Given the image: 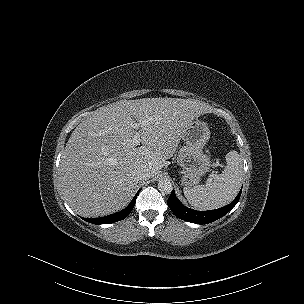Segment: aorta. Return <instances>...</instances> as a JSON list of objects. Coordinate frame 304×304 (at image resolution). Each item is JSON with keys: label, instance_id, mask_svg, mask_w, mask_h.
Instances as JSON below:
<instances>
[{"label": "aorta", "instance_id": "1", "mask_svg": "<svg viewBox=\"0 0 304 304\" xmlns=\"http://www.w3.org/2000/svg\"><path fill=\"white\" fill-rule=\"evenodd\" d=\"M158 189L163 194H170L173 190V185L169 179L161 178L158 182Z\"/></svg>", "mask_w": 304, "mask_h": 304}]
</instances>
